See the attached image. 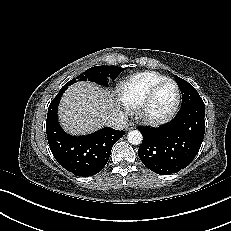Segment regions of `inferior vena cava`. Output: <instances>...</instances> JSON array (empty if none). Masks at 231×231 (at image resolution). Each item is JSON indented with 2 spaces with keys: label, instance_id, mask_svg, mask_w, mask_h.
Listing matches in <instances>:
<instances>
[{
  "label": "inferior vena cava",
  "instance_id": "inferior-vena-cava-1",
  "mask_svg": "<svg viewBox=\"0 0 231 231\" xmlns=\"http://www.w3.org/2000/svg\"><path fill=\"white\" fill-rule=\"evenodd\" d=\"M128 123V117L122 112L114 113L106 120V125L115 129L123 130Z\"/></svg>",
  "mask_w": 231,
  "mask_h": 231
}]
</instances>
